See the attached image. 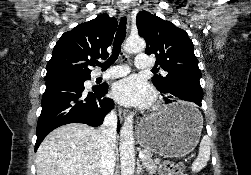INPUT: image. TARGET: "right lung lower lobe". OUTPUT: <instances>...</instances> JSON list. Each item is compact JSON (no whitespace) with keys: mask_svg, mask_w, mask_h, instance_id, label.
Here are the masks:
<instances>
[{"mask_svg":"<svg viewBox=\"0 0 251 175\" xmlns=\"http://www.w3.org/2000/svg\"><path fill=\"white\" fill-rule=\"evenodd\" d=\"M85 80L46 81L42 111L37 124L35 151L46 135L61 125L85 123L97 127L103 123L105 115L114 107L111 99L103 98L108 87L101 84L93 92L87 93L83 85ZM119 129L118 122V132Z\"/></svg>","mask_w":251,"mask_h":175,"instance_id":"1","label":"right lung lower lobe"}]
</instances>
